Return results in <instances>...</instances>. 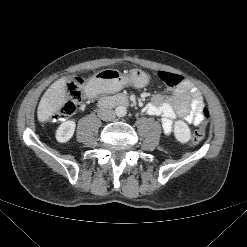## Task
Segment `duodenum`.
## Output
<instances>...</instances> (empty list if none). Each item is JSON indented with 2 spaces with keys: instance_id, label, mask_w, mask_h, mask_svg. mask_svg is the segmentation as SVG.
<instances>
[{
  "instance_id": "obj_1",
  "label": "duodenum",
  "mask_w": 247,
  "mask_h": 247,
  "mask_svg": "<svg viewBox=\"0 0 247 247\" xmlns=\"http://www.w3.org/2000/svg\"><path fill=\"white\" fill-rule=\"evenodd\" d=\"M98 105L102 108H112L119 106H128V97L122 94L105 96L98 101Z\"/></svg>"
}]
</instances>
